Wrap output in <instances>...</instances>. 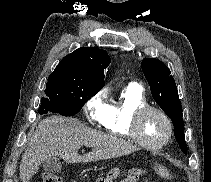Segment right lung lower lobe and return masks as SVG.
Instances as JSON below:
<instances>
[{"mask_svg": "<svg viewBox=\"0 0 211 182\" xmlns=\"http://www.w3.org/2000/svg\"><path fill=\"white\" fill-rule=\"evenodd\" d=\"M42 107H43V106H42ZM42 107L39 108L38 112H39L40 114H46V113H43L44 111L41 110ZM49 107H50V106H49ZM49 112L58 113V111H57L56 109H52V108H49Z\"/></svg>", "mask_w": 211, "mask_h": 182, "instance_id": "1", "label": "right lung lower lobe"}]
</instances>
